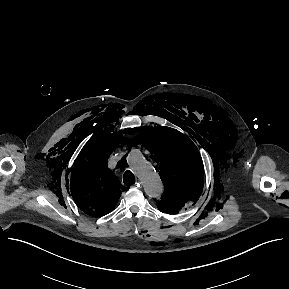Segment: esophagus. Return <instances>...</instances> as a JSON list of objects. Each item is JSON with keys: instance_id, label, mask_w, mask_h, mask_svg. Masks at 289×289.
I'll use <instances>...</instances> for the list:
<instances>
[{"instance_id": "34e87169", "label": "esophagus", "mask_w": 289, "mask_h": 289, "mask_svg": "<svg viewBox=\"0 0 289 289\" xmlns=\"http://www.w3.org/2000/svg\"><path fill=\"white\" fill-rule=\"evenodd\" d=\"M133 188L140 187V182L138 181L136 184L132 186Z\"/></svg>"}]
</instances>
